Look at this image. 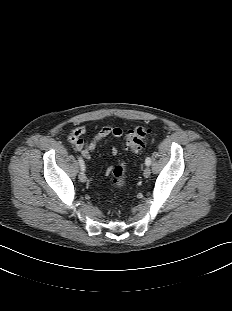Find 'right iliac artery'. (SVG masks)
I'll return each instance as SVG.
<instances>
[{
	"mask_svg": "<svg viewBox=\"0 0 232 311\" xmlns=\"http://www.w3.org/2000/svg\"><path fill=\"white\" fill-rule=\"evenodd\" d=\"M78 161H79L81 170L84 171L85 170V164H84L83 159L81 157H78Z\"/></svg>",
	"mask_w": 232,
	"mask_h": 311,
	"instance_id": "1",
	"label": "right iliac artery"
}]
</instances>
